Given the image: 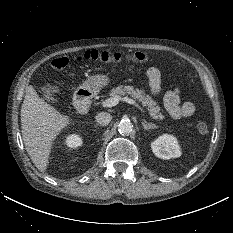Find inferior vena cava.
<instances>
[{
  "instance_id": "1",
  "label": "inferior vena cava",
  "mask_w": 233,
  "mask_h": 233,
  "mask_svg": "<svg viewBox=\"0 0 233 233\" xmlns=\"http://www.w3.org/2000/svg\"><path fill=\"white\" fill-rule=\"evenodd\" d=\"M96 122L102 126H106L112 120V116L107 112H100L95 116Z\"/></svg>"
}]
</instances>
